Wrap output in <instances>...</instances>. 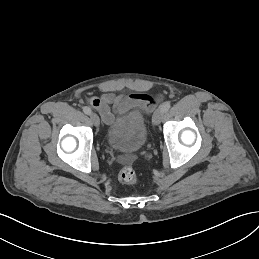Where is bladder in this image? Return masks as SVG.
Here are the masks:
<instances>
[{"instance_id":"31cf9c89","label":"bladder","mask_w":259,"mask_h":259,"mask_svg":"<svg viewBox=\"0 0 259 259\" xmlns=\"http://www.w3.org/2000/svg\"><path fill=\"white\" fill-rule=\"evenodd\" d=\"M106 141L115 151L129 153L142 150L148 141L144 116L135 110L118 117L108 128Z\"/></svg>"}]
</instances>
